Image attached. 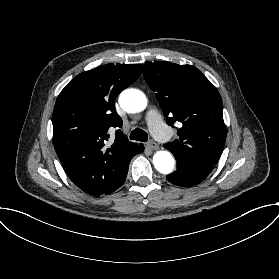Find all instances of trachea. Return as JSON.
<instances>
[{"label": "trachea", "instance_id": "trachea-1", "mask_svg": "<svg viewBox=\"0 0 279 279\" xmlns=\"http://www.w3.org/2000/svg\"><path fill=\"white\" fill-rule=\"evenodd\" d=\"M130 139L146 142L148 140V134L144 130L137 128L131 132Z\"/></svg>", "mask_w": 279, "mask_h": 279}]
</instances>
